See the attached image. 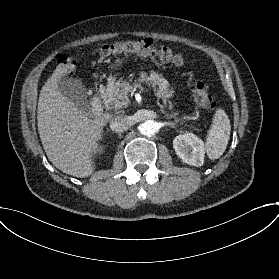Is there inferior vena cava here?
Instances as JSON below:
<instances>
[{
	"label": "inferior vena cava",
	"instance_id": "1",
	"mask_svg": "<svg viewBox=\"0 0 279 279\" xmlns=\"http://www.w3.org/2000/svg\"><path fill=\"white\" fill-rule=\"evenodd\" d=\"M131 125L128 116L117 115L110 120V129L113 132H123L128 130Z\"/></svg>",
	"mask_w": 279,
	"mask_h": 279
}]
</instances>
